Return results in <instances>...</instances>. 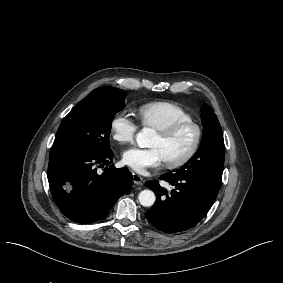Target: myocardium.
Returning <instances> with one entry per match:
<instances>
[{
	"instance_id": "1",
	"label": "myocardium",
	"mask_w": 283,
	"mask_h": 283,
	"mask_svg": "<svg viewBox=\"0 0 283 283\" xmlns=\"http://www.w3.org/2000/svg\"><path fill=\"white\" fill-rule=\"evenodd\" d=\"M188 126H191L195 131L194 143L190 148V150L186 153V155L181 159L177 161H166L165 165L168 169L182 168L194 159V157L199 152L203 142V136H204L203 128L197 121L193 119H183L176 121L164 131L158 132V136L162 140L169 141L173 139L182 129Z\"/></svg>"
}]
</instances>
